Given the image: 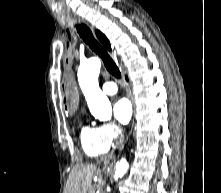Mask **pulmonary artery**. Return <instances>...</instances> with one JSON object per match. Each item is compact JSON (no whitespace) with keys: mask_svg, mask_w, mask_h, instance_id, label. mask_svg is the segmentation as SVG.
I'll list each match as a JSON object with an SVG mask.
<instances>
[{"mask_svg":"<svg viewBox=\"0 0 221 193\" xmlns=\"http://www.w3.org/2000/svg\"><path fill=\"white\" fill-rule=\"evenodd\" d=\"M102 90L108 95H113L117 92V86L114 82H106L103 84Z\"/></svg>","mask_w":221,"mask_h":193,"instance_id":"1","label":"pulmonary artery"}]
</instances>
